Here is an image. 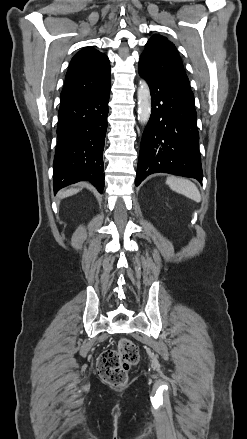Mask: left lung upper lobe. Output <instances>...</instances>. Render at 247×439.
<instances>
[{
  "label": "left lung upper lobe",
  "mask_w": 247,
  "mask_h": 439,
  "mask_svg": "<svg viewBox=\"0 0 247 439\" xmlns=\"http://www.w3.org/2000/svg\"><path fill=\"white\" fill-rule=\"evenodd\" d=\"M139 63L151 72L192 93L180 56L166 37L155 34L146 44Z\"/></svg>",
  "instance_id": "1"
}]
</instances>
